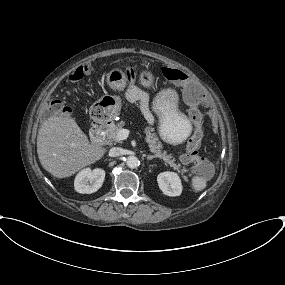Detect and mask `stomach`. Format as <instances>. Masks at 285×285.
Masks as SVG:
<instances>
[{
	"label": "stomach",
	"instance_id": "stomach-1",
	"mask_svg": "<svg viewBox=\"0 0 285 285\" xmlns=\"http://www.w3.org/2000/svg\"><path fill=\"white\" fill-rule=\"evenodd\" d=\"M108 86L115 91H122L127 85V76L123 69L113 68L106 74ZM139 82L143 87H150L154 75L150 71H142ZM178 95L173 89L159 92L153 101V110L160 119L159 133L161 138L170 144L182 143L190 134L189 121L177 110ZM121 101L118 96L104 95L90 107V116L98 124H107L120 113Z\"/></svg>",
	"mask_w": 285,
	"mask_h": 285
}]
</instances>
